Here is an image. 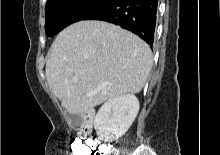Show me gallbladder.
<instances>
[{"mask_svg": "<svg viewBox=\"0 0 220 155\" xmlns=\"http://www.w3.org/2000/svg\"><path fill=\"white\" fill-rule=\"evenodd\" d=\"M69 118H70V120L72 122L73 128H77L78 116L77 115H73V114H69Z\"/></svg>", "mask_w": 220, "mask_h": 155, "instance_id": "obj_1", "label": "gallbladder"}]
</instances>
